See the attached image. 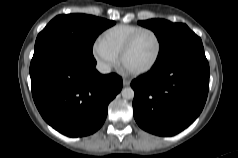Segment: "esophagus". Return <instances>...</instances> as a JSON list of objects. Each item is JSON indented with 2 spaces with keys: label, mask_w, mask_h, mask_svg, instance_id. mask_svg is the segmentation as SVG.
<instances>
[{
  "label": "esophagus",
  "mask_w": 238,
  "mask_h": 158,
  "mask_svg": "<svg viewBox=\"0 0 238 158\" xmlns=\"http://www.w3.org/2000/svg\"><path fill=\"white\" fill-rule=\"evenodd\" d=\"M123 85H124V86H129V85H130V80H128V79H123Z\"/></svg>",
  "instance_id": "1"
}]
</instances>
